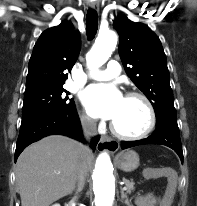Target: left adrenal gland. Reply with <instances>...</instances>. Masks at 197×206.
<instances>
[{
    "mask_svg": "<svg viewBox=\"0 0 197 206\" xmlns=\"http://www.w3.org/2000/svg\"><path fill=\"white\" fill-rule=\"evenodd\" d=\"M121 199L124 200V203L128 206H130L129 199L127 195L124 193L123 189H121Z\"/></svg>",
    "mask_w": 197,
    "mask_h": 206,
    "instance_id": "1",
    "label": "left adrenal gland"
}]
</instances>
